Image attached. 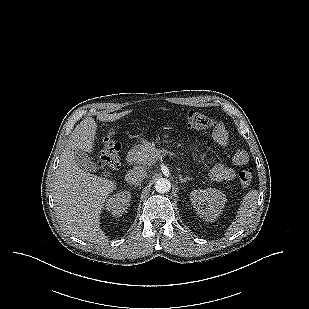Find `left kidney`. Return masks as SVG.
<instances>
[{"instance_id":"obj_1","label":"left kidney","mask_w":309,"mask_h":309,"mask_svg":"<svg viewBox=\"0 0 309 309\" xmlns=\"http://www.w3.org/2000/svg\"><path fill=\"white\" fill-rule=\"evenodd\" d=\"M190 200L199 217L213 222L222 213L227 199L220 190L208 188L192 191Z\"/></svg>"}]
</instances>
